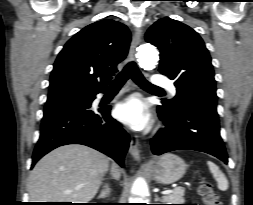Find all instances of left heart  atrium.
I'll return each mask as SVG.
<instances>
[{"label":"left heart atrium","mask_w":253,"mask_h":205,"mask_svg":"<svg viewBox=\"0 0 253 205\" xmlns=\"http://www.w3.org/2000/svg\"><path fill=\"white\" fill-rule=\"evenodd\" d=\"M116 117L134 130H142L150 123L151 115L147 105L138 95H132L115 110Z\"/></svg>","instance_id":"obj_1"}]
</instances>
